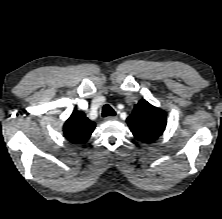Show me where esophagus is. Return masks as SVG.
Segmentation results:
<instances>
[{
	"label": "esophagus",
	"instance_id": "obj_1",
	"mask_svg": "<svg viewBox=\"0 0 222 219\" xmlns=\"http://www.w3.org/2000/svg\"><path fill=\"white\" fill-rule=\"evenodd\" d=\"M117 119V116H108L105 118V121H116Z\"/></svg>",
	"mask_w": 222,
	"mask_h": 219
}]
</instances>
